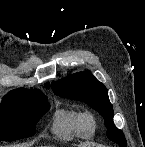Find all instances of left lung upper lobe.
Returning a JSON list of instances; mask_svg holds the SVG:
<instances>
[{
    "mask_svg": "<svg viewBox=\"0 0 145 147\" xmlns=\"http://www.w3.org/2000/svg\"><path fill=\"white\" fill-rule=\"evenodd\" d=\"M52 90L58 96L82 101L98 111L104 118L108 138L121 147H126L124 133L113 123L114 113L107 89L89 71L52 82Z\"/></svg>",
    "mask_w": 145,
    "mask_h": 147,
    "instance_id": "left-lung-upper-lobe-1",
    "label": "left lung upper lobe"
}]
</instances>
